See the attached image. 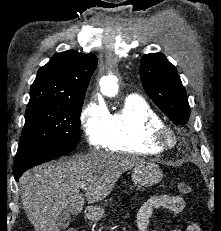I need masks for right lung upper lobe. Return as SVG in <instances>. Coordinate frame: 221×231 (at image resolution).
Instances as JSON below:
<instances>
[{"instance_id":"cb5924a9","label":"right lung upper lobe","mask_w":221,"mask_h":231,"mask_svg":"<svg viewBox=\"0 0 221 231\" xmlns=\"http://www.w3.org/2000/svg\"><path fill=\"white\" fill-rule=\"evenodd\" d=\"M96 66L94 54L68 50L54 55L38 70L28 104L84 98Z\"/></svg>"}]
</instances>
